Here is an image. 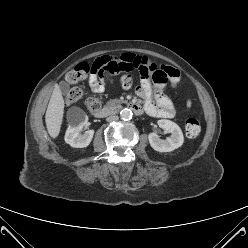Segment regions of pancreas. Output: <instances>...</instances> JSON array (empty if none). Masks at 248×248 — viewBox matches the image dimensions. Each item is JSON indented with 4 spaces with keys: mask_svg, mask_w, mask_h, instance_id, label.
Masks as SVG:
<instances>
[{
    "mask_svg": "<svg viewBox=\"0 0 248 248\" xmlns=\"http://www.w3.org/2000/svg\"><path fill=\"white\" fill-rule=\"evenodd\" d=\"M120 104H121V100H119V99H113V100H110L108 103H107V108H110V109H112V108H117V107H119L120 106Z\"/></svg>",
    "mask_w": 248,
    "mask_h": 248,
    "instance_id": "cf45deb5",
    "label": "pancreas"
}]
</instances>
